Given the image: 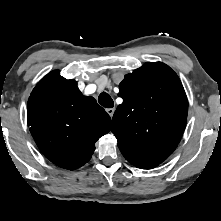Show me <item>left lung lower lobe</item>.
<instances>
[{
  "label": "left lung lower lobe",
  "instance_id": "0a47b994",
  "mask_svg": "<svg viewBox=\"0 0 221 221\" xmlns=\"http://www.w3.org/2000/svg\"><path fill=\"white\" fill-rule=\"evenodd\" d=\"M123 156L130 162L132 163L134 166L141 168V169H152L154 167H156L157 165L154 163H150V162H146V161H142L128 153H122Z\"/></svg>",
  "mask_w": 221,
  "mask_h": 221
}]
</instances>
